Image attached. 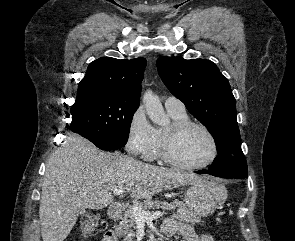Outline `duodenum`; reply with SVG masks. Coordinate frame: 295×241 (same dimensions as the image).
<instances>
[{
	"instance_id": "obj_1",
	"label": "duodenum",
	"mask_w": 295,
	"mask_h": 241,
	"mask_svg": "<svg viewBox=\"0 0 295 241\" xmlns=\"http://www.w3.org/2000/svg\"><path fill=\"white\" fill-rule=\"evenodd\" d=\"M123 210V206L120 203H112L109 206L108 213L110 218L115 219L121 216Z\"/></svg>"
}]
</instances>
